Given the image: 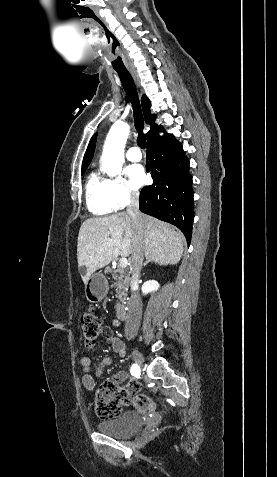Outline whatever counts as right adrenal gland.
<instances>
[{"label": "right adrenal gland", "instance_id": "2a0ac1e0", "mask_svg": "<svg viewBox=\"0 0 277 477\" xmlns=\"http://www.w3.org/2000/svg\"><path fill=\"white\" fill-rule=\"evenodd\" d=\"M152 259H148L145 263H144V266H146L149 262H151Z\"/></svg>", "mask_w": 277, "mask_h": 477}]
</instances>
